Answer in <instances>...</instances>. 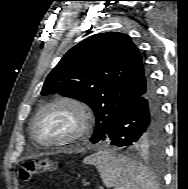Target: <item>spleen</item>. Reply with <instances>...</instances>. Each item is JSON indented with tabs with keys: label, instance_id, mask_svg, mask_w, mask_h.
Listing matches in <instances>:
<instances>
[{
	"label": "spleen",
	"instance_id": "spleen-1",
	"mask_svg": "<svg viewBox=\"0 0 188 189\" xmlns=\"http://www.w3.org/2000/svg\"><path fill=\"white\" fill-rule=\"evenodd\" d=\"M85 164L94 165L104 184L114 189H157L152 173L142 164L107 150L84 158Z\"/></svg>",
	"mask_w": 188,
	"mask_h": 189
}]
</instances>
